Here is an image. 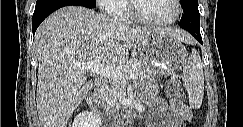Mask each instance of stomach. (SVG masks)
Segmentation results:
<instances>
[{"label": "stomach", "instance_id": "0dacf381", "mask_svg": "<svg viewBox=\"0 0 243 127\" xmlns=\"http://www.w3.org/2000/svg\"><path fill=\"white\" fill-rule=\"evenodd\" d=\"M139 59L153 75L174 74L187 62L188 52L176 37L152 33L138 46Z\"/></svg>", "mask_w": 243, "mask_h": 127}]
</instances>
